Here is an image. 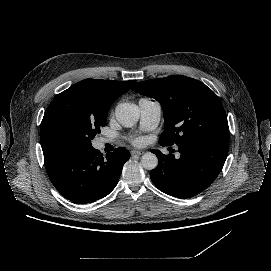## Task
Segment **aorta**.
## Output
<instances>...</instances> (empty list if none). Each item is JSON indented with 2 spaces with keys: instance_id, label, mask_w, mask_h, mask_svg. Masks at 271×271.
I'll return each instance as SVG.
<instances>
[{
  "instance_id": "762f6f07",
  "label": "aorta",
  "mask_w": 271,
  "mask_h": 271,
  "mask_svg": "<svg viewBox=\"0 0 271 271\" xmlns=\"http://www.w3.org/2000/svg\"><path fill=\"white\" fill-rule=\"evenodd\" d=\"M115 117L123 127H132L139 119L138 106L130 103L118 104L115 108ZM141 165L145 170H154L158 165V158L155 154L147 152L141 157Z\"/></svg>"
}]
</instances>
